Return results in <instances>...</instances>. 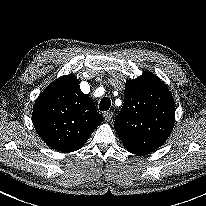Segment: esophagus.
<instances>
[{
    "label": "esophagus",
    "mask_w": 206,
    "mask_h": 206,
    "mask_svg": "<svg viewBox=\"0 0 206 206\" xmlns=\"http://www.w3.org/2000/svg\"><path fill=\"white\" fill-rule=\"evenodd\" d=\"M103 117L106 122H110L113 117V113L111 111L104 112Z\"/></svg>",
    "instance_id": "obj_1"
}]
</instances>
